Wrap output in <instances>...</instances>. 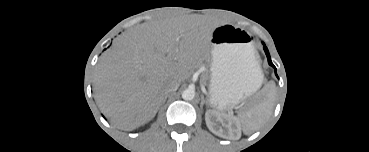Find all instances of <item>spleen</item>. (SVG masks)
Segmentation results:
<instances>
[{"label":"spleen","mask_w":369,"mask_h":152,"mask_svg":"<svg viewBox=\"0 0 369 152\" xmlns=\"http://www.w3.org/2000/svg\"><path fill=\"white\" fill-rule=\"evenodd\" d=\"M275 95V83L271 81L249 103L248 108L238 114V121L246 134L259 129L270 117L274 106Z\"/></svg>","instance_id":"1"}]
</instances>
